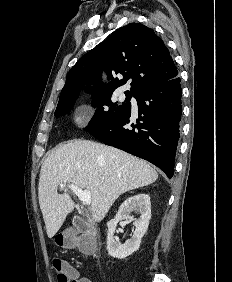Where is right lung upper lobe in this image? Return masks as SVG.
<instances>
[{
  "mask_svg": "<svg viewBox=\"0 0 232 282\" xmlns=\"http://www.w3.org/2000/svg\"><path fill=\"white\" fill-rule=\"evenodd\" d=\"M102 69L111 80L109 86L101 84ZM177 75L168 48L154 30L140 23H130L114 31L73 66L59 101L79 94L81 89L91 94L114 91L127 82L131 88L126 92L135 95L146 85L165 82Z\"/></svg>",
  "mask_w": 232,
  "mask_h": 282,
  "instance_id": "cb5924a9",
  "label": "right lung upper lobe"
}]
</instances>
